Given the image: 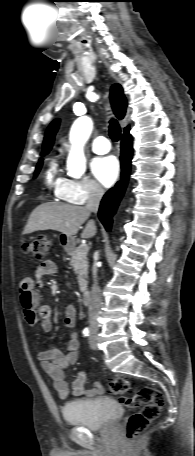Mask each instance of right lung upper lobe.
I'll return each instance as SVG.
<instances>
[{
    "instance_id": "cb5924a9",
    "label": "right lung upper lobe",
    "mask_w": 195,
    "mask_h": 456,
    "mask_svg": "<svg viewBox=\"0 0 195 456\" xmlns=\"http://www.w3.org/2000/svg\"><path fill=\"white\" fill-rule=\"evenodd\" d=\"M110 100L114 110L115 115L118 119L124 118L126 115L127 102L126 98L123 95L122 87L119 84H114L111 88ZM59 127V120H54L48 127L44 142H43V154H47L54 142V136ZM129 131V126L125 128L124 132ZM42 154V155H43Z\"/></svg>"
}]
</instances>
